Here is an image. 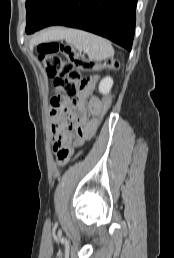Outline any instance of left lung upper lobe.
Returning a JSON list of instances; mask_svg holds the SVG:
<instances>
[{"mask_svg":"<svg viewBox=\"0 0 174 258\" xmlns=\"http://www.w3.org/2000/svg\"><path fill=\"white\" fill-rule=\"evenodd\" d=\"M59 0H26V33H34Z\"/></svg>","mask_w":174,"mask_h":258,"instance_id":"obj_1","label":"left lung upper lobe"}]
</instances>
